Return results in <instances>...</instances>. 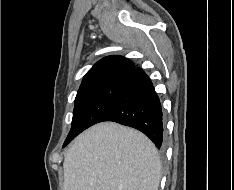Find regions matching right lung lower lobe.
<instances>
[{"mask_svg": "<svg viewBox=\"0 0 234 190\" xmlns=\"http://www.w3.org/2000/svg\"><path fill=\"white\" fill-rule=\"evenodd\" d=\"M104 121L136 128L158 149L163 147L164 123L161 103L151 80L139 67L125 78L117 99L99 122Z\"/></svg>", "mask_w": 234, "mask_h": 190, "instance_id": "98d812e1", "label": "right lung lower lobe"}]
</instances>
